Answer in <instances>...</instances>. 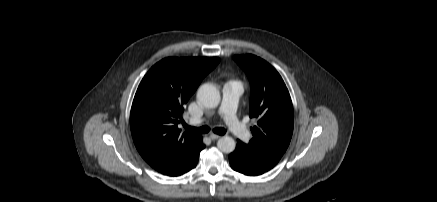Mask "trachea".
<instances>
[{
  "instance_id": "trachea-1",
  "label": "trachea",
  "mask_w": 437,
  "mask_h": 202,
  "mask_svg": "<svg viewBox=\"0 0 437 202\" xmlns=\"http://www.w3.org/2000/svg\"><path fill=\"white\" fill-rule=\"evenodd\" d=\"M186 129L189 131L198 133V134H205V133H208L210 131V128L208 126H202L199 128L186 126ZM213 132L218 134V135H224L226 133V130L224 128L217 127V128L213 129Z\"/></svg>"
}]
</instances>
